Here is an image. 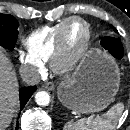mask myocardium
<instances>
[{
	"label": "myocardium",
	"mask_w": 130,
	"mask_h": 130,
	"mask_svg": "<svg viewBox=\"0 0 130 130\" xmlns=\"http://www.w3.org/2000/svg\"><path fill=\"white\" fill-rule=\"evenodd\" d=\"M75 21L81 22L84 25L86 36L82 46L76 52L72 53L69 51L67 44V31L69 26ZM90 40L91 28L88 22L79 17L70 18L58 35L56 47L50 58L52 70L59 75H65L72 72L85 56L90 45Z\"/></svg>",
	"instance_id": "1"
}]
</instances>
